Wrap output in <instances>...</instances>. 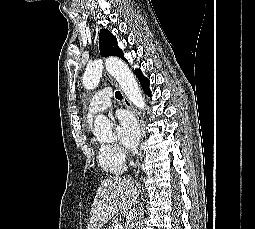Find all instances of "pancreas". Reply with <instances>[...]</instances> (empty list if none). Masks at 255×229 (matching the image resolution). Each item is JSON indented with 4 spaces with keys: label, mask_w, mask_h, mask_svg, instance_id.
I'll return each instance as SVG.
<instances>
[{
    "label": "pancreas",
    "mask_w": 255,
    "mask_h": 229,
    "mask_svg": "<svg viewBox=\"0 0 255 229\" xmlns=\"http://www.w3.org/2000/svg\"><path fill=\"white\" fill-rule=\"evenodd\" d=\"M108 229H115V224H111Z\"/></svg>",
    "instance_id": "cf45deb5"
}]
</instances>
